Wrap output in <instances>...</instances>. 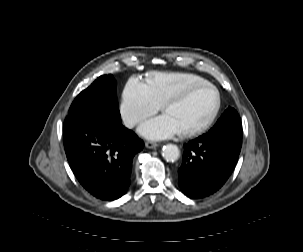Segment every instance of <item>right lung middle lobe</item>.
<instances>
[{"label":"right lung middle lobe","mask_w":303,"mask_h":252,"mask_svg":"<svg viewBox=\"0 0 303 252\" xmlns=\"http://www.w3.org/2000/svg\"><path fill=\"white\" fill-rule=\"evenodd\" d=\"M89 110H106L120 117L116 81L112 75L100 76L91 86L83 90L72 103L68 116Z\"/></svg>","instance_id":"right-lung-middle-lobe-1"}]
</instances>
